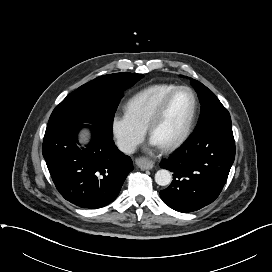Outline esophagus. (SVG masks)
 Listing matches in <instances>:
<instances>
[{
	"mask_svg": "<svg viewBox=\"0 0 272 272\" xmlns=\"http://www.w3.org/2000/svg\"><path fill=\"white\" fill-rule=\"evenodd\" d=\"M135 162H136V165L142 170H149L154 167V163L146 157H140L136 159Z\"/></svg>",
	"mask_w": 272,
	"mask_h": 272,
	"instance_id": "esophagus-1",
	"label": "esophagus"
}]
</instances>
